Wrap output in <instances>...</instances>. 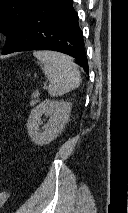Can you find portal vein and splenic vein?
Returning a JSON list of instances; mask_svg holds the SVG:
<instances>
[{
	"label": "portal vein and splenic vein",
	"mask_w": 128,
	"mask_h": 213,
	"mask_svg": "<svg viewBox=\"0 0 128 213\" xmlns=\"http://www.w3.org/2000/svg\"><path fill=\"white\" fill-rule=\"evenodd\" d=\"M44 88H46V87H44ZM39 95H40V91H39V90H36V91L34 92V97H39Z\"/></svg>",
	"instance_id": "18ae733b"
}]
</instances>
